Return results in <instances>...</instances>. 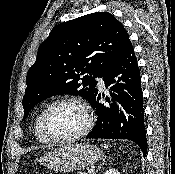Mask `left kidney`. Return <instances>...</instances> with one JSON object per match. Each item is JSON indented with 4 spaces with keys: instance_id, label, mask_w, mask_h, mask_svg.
I'll list each match as a JSON object with an SVG mask.
<instances>
[{
    "instance_id": "5707ae66",
    "label": "left kidney",
    "mask_w": 175,
    "mask_h": 174,
    "mask_svg": "<svg viewBox=\"0 0 175 174\" xmlns=\"http://www.w3.org/2000/svg\"><path fill=\"white\" fill-rule=\"evenodd\" d=\"M104 174H120V172L115 168H110Z\"/></svg>"
}]
</instances>
